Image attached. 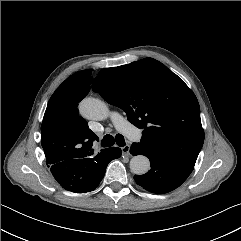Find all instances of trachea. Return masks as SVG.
<instances>
[{"label":"trachea","mask_w":241,"mask_h":241,"mask_svg":"<svg viewBox=\"0 0 241 241\" xmlns=\"http://www.w3.org/2000/svg\"><path fill=\"white\" fill-rule=\"evenodd\" d=\"M115 143L120 147L126 145L124 137L121 134H117L115 138L112 135L107 134L103 137L101 141V145L103 147H110L113 146Z\"/></svg>","instance_id":"trachea-1"}]
</instances>
